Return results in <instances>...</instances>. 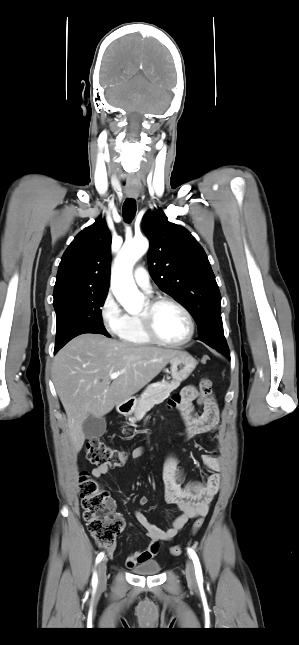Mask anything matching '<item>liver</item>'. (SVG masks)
<instances>
[{
  "instance_id": "liver-1",
  "label": "liver",
  "mask_w": 299,
  "mask_h": 645,
  "mask_svg": "<svg viewBox=\"0 0 299 645\" xmlns=\"http://www.w3.org/2000/svg\"><path fill=\"white\" fill-rule=\"evenodd\" d=\"M179 350L138 346L86 333L67 343L54 357L52 378L65 409L75 452L85 441L83 422L130 399L152 381ZM114 372H122L111 379Z\"/></svg>"
}]
</instances>
